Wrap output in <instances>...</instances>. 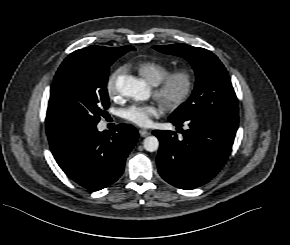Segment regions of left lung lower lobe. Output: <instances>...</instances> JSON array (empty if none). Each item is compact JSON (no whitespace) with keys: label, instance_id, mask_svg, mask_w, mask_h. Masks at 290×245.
Returning a JSON list of instances; mask_svg holds the SVG:
<instances>
[{"label":"left lung lower lobe","instance_id":"1","mask_svg":"<svg viewBox=\"0 0 290 245\" xmlns=\"http://www.w3.org/2000/svg\"><path fill=\"white\" fill-rule=\"evenodd\" d=\"M183 134L154 130L160 141L158 171L171 185L191 190L209 182L224 166L231 152L238 121L197 112L182 120L170 119ZM183 123L188 124L182 130Z\"/></svg>","mask_w":290,"mask_h":245}]
</instances>
